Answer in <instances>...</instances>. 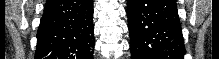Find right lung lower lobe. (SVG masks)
Here are the masks:
<instances>
[{
    "label": "right lung lower lobe",
    "mask_w": 219,
    "mask_h": 59,
    "mask_svg": "<svg viewBox=\"0 0 219 59\" xmlns=\"http://www.w3.org/2000/svg\"><path fill=\"white\" fill-rule=\"evenodd\" d=\"M93 1L47 0L35 59H92Z\"/></svg>",
    "instance_id": "obj_1"
}]
</instances>
